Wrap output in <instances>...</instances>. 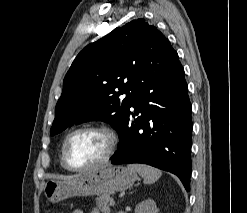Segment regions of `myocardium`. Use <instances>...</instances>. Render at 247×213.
Instances as JSON below:
<instances>
[{
	"mask_svg": "<svg viewBox=\"0 0 247 213\" xmlns=\"http://www.w3.org/2000/svg\"><path fill=\"white\" fill-rule=\"evenodd\" d=\"M86 131L99 132V133L103 134L107 138L108 147H107L105 155L98 162H96L92 165H89V166H85V167H74L69 163L67 156H66L67 144L73 135L80 133V132H86ZM117 146H118V138H117L116 134L114 133V131L111 130L110 128H108L106 126H101V125L81 126V127L75 128L72 131H70L66 135V137L64 138V141H63L62 147H61V162H62V165L67 170L72 171V172L91 171V170L103 167L104 165L109 163L110 160L113 158L116 150H117Z\"/></svg>",
	"mask_w": 247,
	"mask_h": 213,
	"instance_id": "1",
	"label": "myocardium"
}]
</instances>
